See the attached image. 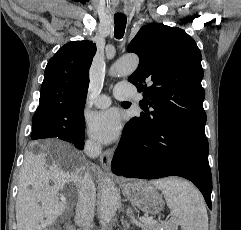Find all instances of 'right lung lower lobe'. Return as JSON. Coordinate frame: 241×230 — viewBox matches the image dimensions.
<instances>
[{"mask_svg":"<svg viewBox=\"0 0 241 230\" xmlns=\"http://www.w3.org/2000/svg\"><path fill=\"white\" fill-rule=\"evenodd\" d=\"M41 114V113H40ZM40 114H34V115H40ZM52 135L56 136L58 135L57 133H53ZM67 139V138H66ZM64 141L70 142L72 145H74L76 148L82 150L84 147V139L83 140H74V139H67Z\"/></svg>","mask_w":241,"mask_h":230,"instance_id":"98d812e1","label":"right lung lower lobe"}]
</instances>
